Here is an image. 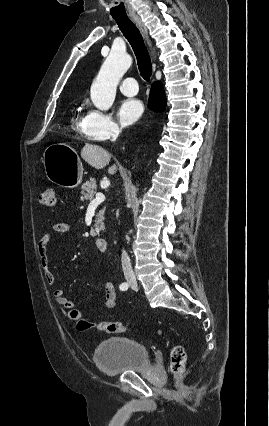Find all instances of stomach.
I'll return each mask as SVG.
<instances>
[{
	"label": "stomach",
	"instance_id": "1",
	"mask_svg": "<svg viewBox=\"0 0 269 426\" xmlns=\"http://www.w3.org/2000/svg\"><path fill=\"white\" fill-rule=\"evenodd\" d=\"M43 164L49 181L65 188H76L82 181V162L70 146L55 143L43 153Z\"/></svg>",
	"mask_w": 269,
	"mask_h": 426
}]
</instances>
